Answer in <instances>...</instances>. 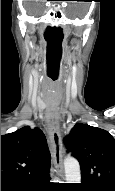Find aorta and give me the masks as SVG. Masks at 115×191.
Here are the masks:
<instances>
[{
	"mask_svg": "<svg viewBox=\"0 0 115 191\" xmlns=\"http://www.w3.org/2000/svg\"><path fill=\"white\" fill-rule=\"evenodd\" d=\"M66 183H80L81 171L79 162L72 157H68L64 161Z\"/></svg>",
	"mask_w": 115,
	"mask_h": 191,
	"instance_id": "obj_1",
	"label": "aorta"
}]
</instances>
